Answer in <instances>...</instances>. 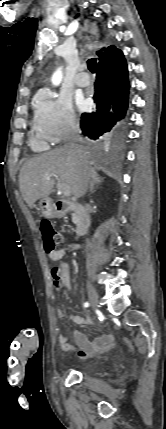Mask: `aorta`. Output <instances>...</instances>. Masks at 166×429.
Here are the masks:
<instances>
[{"label": "aorta", "mask_w": 166, "mask_h": 429, "mask_svg": "<svg viewBox=\"0 0 166 429\" xmlns=\"http://www.w3.org/2000/svg\"><path fill=\"white\" fill-rule=\"evenodd\" d=\"M60 80H61V73L60 72H57L54 76H53V78H52V81H53V83L54 84H59V82H60Z\"/></svg>", "instance_id": "1"}]
</instances>
